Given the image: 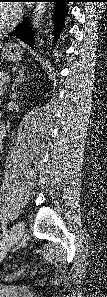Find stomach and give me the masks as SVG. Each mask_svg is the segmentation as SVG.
Listing matches in <instances>:
<instances>
[{"mask_svg": "<svg viewBox=\"0 0 107 297\" xmlns=\"http://www.w3.org/2000/svg\"><path fill=\"white\" fill-rule=\"evenodd\" d=\"M24 50L20 44L9 43L1 46V59L8 62H19Z\"/></svg>", "mask_w": 107, "mask_h": 297, "instance_id": "1", "label": "stomach"}]
</instances>
